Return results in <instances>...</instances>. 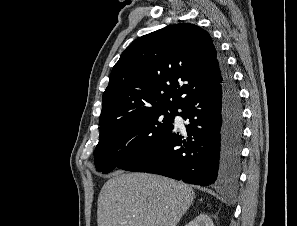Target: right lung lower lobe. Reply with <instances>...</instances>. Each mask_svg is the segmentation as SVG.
<instances>
[{
	"label": "right lung lower lobe",
	"mask_w": 297,
	"mask_h": 226,
	"mask_svg": "<svg viewBox=\"0 0 297 226\" xmlns=\"http://www.w3.org/2000/svg\"><path fill=\"white\" fill-rule=\"evenodd\" d=\"M221 81L188 97L177 113L187 136L174 127L148 151L122 169L160 174L207 186L234 184L239 177L243 136L242 102L226 61L220 59Z\"/></svg>",
	"instance_id": "obj_1"
}]
</instances>
